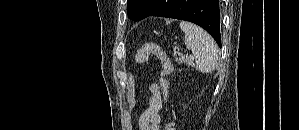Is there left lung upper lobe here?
<instances>
[{
	"label": "left lung upper lobe",
	"instance_id": "1",
	"mask_svg": "<svg viewBox=\"0 0 299 130\" xmlns=\"http://www.w3.org/2000/svg\"><path fill=\"white\" fill-rule=\"evenodd\" d=\"M150 7L149 0H128L127 14L128 17L134 21L142 19L143 15Z\"/></svg>",
	"mask_w": 299,
	"mask_h": 130
}]
</instances>
